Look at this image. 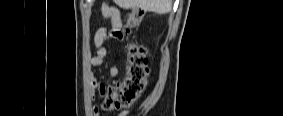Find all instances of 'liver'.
Here are the masks:
<instances>
[{
	"label": "liver",
	"instance_id": "obj_1",
	"mask_svg": "<svg viewBox=\"0 0 283 116\" xmlns=\"http://www.w3.org/2000/svg\"><path fill=\"white\" fill-rule=\"evenodd\" d=\"M123 9L141 8L158 14L168 13L172 8V0H114Z\"/></svg>",
	"mask_w": 283,
	"mask_h": 116
}]
</instances>
